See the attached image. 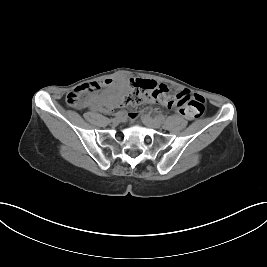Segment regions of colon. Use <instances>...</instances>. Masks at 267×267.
I'll return each instance as SVG.
<instances>
[{"label":"colon","instance_id":"1","mask_svg":"<svg viewBox=\"0 0 267 267\" xmlns=\"http://www.w3.org/2000/svg\"><path fill=\"white\" fill-rule=\"evenodd\" d=\"M87 91L86 86H79L67 94V103L74 108L84 106V94ZM182 103L178 106V111L187 118H199L205 111V99L198 94H192L189 91H182L180 94ZM173 96L169 94L167 86L158 85L152 80L136 79L132 81L131 88L123 98H117V102H122L126 106H134L141 102H152L163 106H169L172 103Z\"/></svg>","mask_w":267,"mask_h":267}]
</instances>
